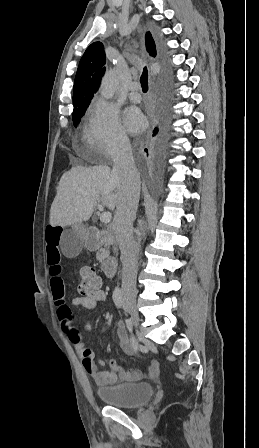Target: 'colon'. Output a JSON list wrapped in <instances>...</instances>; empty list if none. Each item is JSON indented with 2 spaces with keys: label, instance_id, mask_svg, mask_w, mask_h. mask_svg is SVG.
I'll list each match as a JSON object with an SVG mask.
<instances>
[{
  "label": "colon",
  "instance_id": "colon-1",
  "mask_svg": "<svg viewBox=\"0 0 259 448\" xmlns=\"http://www.w3.org/2000/svg\"><path fill=\"white\" fill-rule=\"evenodd\" d=\"M102 279L93 269L87 268L80 272L78 292L80 295H98L102 291Z\"/></svg>",
  "mask_w": 259,
  "mask_h": 448
}]
</instances>
